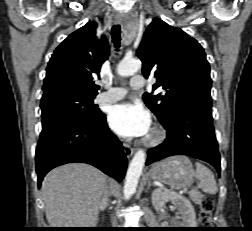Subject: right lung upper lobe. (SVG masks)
Segmentation results:
<instances>
[{
  "label": "right lung upper lobe",
  "mask_w": 252,
  "mask_h": 231,
  "mask_svg": "<svg viewBox=\"0 0 252 231\" xmlns=\"http://www.w3.org/2000/svg\"><path fill=\"white\" fill-rule=\"evenodd\" d=\"M96 28V22H88L55 49L46 69L42 99L60 94L97 95L99 86L92 75L100 72L109 46L105 36L97 38Z\"/></svg>",
  "instance_id": "right-lung-upper-lobe-1"
}]
</instances>
